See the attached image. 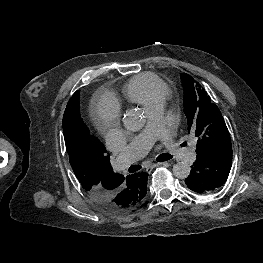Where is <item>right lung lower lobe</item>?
Instances as JSON below:
<instances>
[{
    "label": "right lung lower lobe",
    "mask_w": 263,
    "mask_h": 263,
    "mask_svg": "<svg viewBox=\"0 0 263 263\" xmlns=\"http://www.w3.org/2000/svg\"><path fill=\"white\" fill-rule=\"evenodd\" d=\"M147 178L148 173L141 172L133 174L123 184L118 181L112 185L114 191L103 194H90L93 200L104 209L111 212H119L129 201V194L127 193V186L129 183L139 185L146 188L147 192Z\"/></svg>",
    "instance_id": "obj_1"
}]
</instances>
